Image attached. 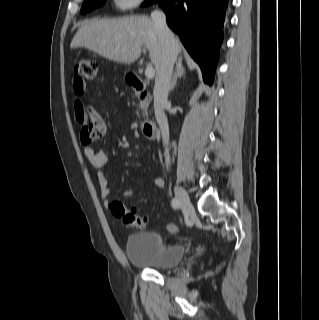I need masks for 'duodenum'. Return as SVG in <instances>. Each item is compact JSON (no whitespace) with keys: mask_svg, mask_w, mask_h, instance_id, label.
I'll use <instances>...</instances> for the list:
<instances>
[{"mask_svg":"<svg viewBox=\"0 0 319 320\" xmlns=\"http://www.w3.org/2000/svg\"><path fill=\"white\" fill-rule=\"evenodd\" d=\"M128 81L134 90L142 94L145 91L144 82L135 74L128 75ZM142 130L148 140H154L157 138L158 128L156 124L152 121L146 120L142 123Z\"/></svg>","mask_w":319,"mask_h":320,"instance_id":"duodenum-1","label":"duodenum"}]
</instances>
